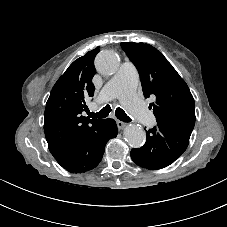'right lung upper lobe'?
I'll return each instance as SVG.
<instances>
[{
  "instance_id": "1",
  "label": "right lung upper lobe",
  "mask_w": 227,
  "mask_h": 227,
  "mask_svg": "<svg viewBox=\"0 0 227 227\" xmlns=\"http://www.w3.org/2000/svg\"><path fill=\"white\" fill-rule=\"evenodd\" d=\"M96 48L76 59L52 88L44 113V132L53 157L79 143L102 119L82 116L85 100L94 94Z\"/></svg>"
}]
</instances>
